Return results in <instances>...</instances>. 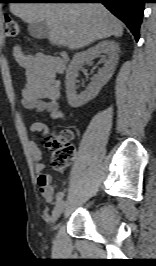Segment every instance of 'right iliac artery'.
<instances>
[{
    "instance_id": "right-iliac-artery-1",
    "label": "right iliac artery",
    "mask_w": 156,
    "mask_h": 266,
    "mask_svg": "<svg viewBox=\"0 0 156 266\" xmlns=\"http://www.w3.org/2000/svg\"><path fill=\"white\" fill-rule=\"evenodd\" d=\"M64 195H65L64 192L57 193V195H56V203L60 202L63 199Z\"/></svg>"
}]
</instances>
